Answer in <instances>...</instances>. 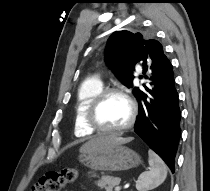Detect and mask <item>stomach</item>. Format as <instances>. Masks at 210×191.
Here are the masks:
<instances>
[{
  "mask_svg": "<svg viewBox=\"0 0 210 191\" xmlns=\"http://www.w3.org/2000/svg\"><path fill=\"white\" fill-rule=\"evenodd\" d=\"M79 161L94 171H126L142 164L141 157L135 151L122 144L83 151Z\"/></svg>",
  "mask_w": 210,
  "mask_h": 191,
  "instance_id": "obj_1",
  "label": "stomach"
}]
</instances>
